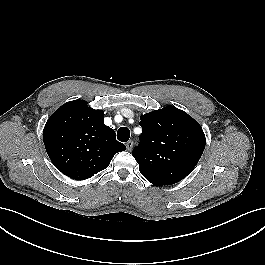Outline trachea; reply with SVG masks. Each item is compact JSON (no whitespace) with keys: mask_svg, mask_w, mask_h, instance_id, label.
Returning <instances> with one entry per match:
<instances>
[{"mask_svg":"<svg viewBox=\"0 0 265 265\" xmlns=\"http://www.w3.org/2000/svg\"><path fill=\"white\" fill-rule=\"evenodd\" d=\"M130 138V131L127 127H120L117 131V139L121 142H127Z\"/></svg>","mask_w":265,"mask_h":265,"instance_id":"1","label":"trachea"}]
</instances>
